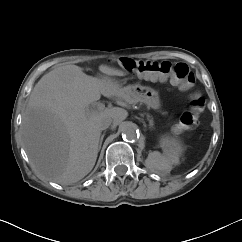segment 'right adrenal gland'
Masks as SVG:
<instances>
[{
	"instance_id": "2a0ac1e0",
	"label": "right adrenal gland",
	"mask_w": 242,
	"mask_h": 242,
	"mask_svg": "<svg viewBox=\"0 0 242 242\" xmlns=\"http://www.w3.org/2000/svg\"><path fill=\"white\" fill-rule=\"evenodd\" d=\"M104 134L101 135L100 142H99V150L101 148L102 142H103Z\"/></svg>"
}]
</instances>
